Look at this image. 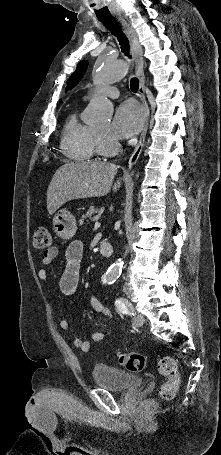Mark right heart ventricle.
Returning <instances> with one entry per match:
<instances>
[{
  "instance_id": "e07e8e85",
  "label": "right heart ventricle",
  "mask_w": 221,
  "mask_h": 455,
  "mask_svg": "<svg viewBox=\"0 0 221 455\" xmlns=\"http://www.w3.org/2000/svg\"><path fill=\"white\" fill-rule=\"evenodd\" d=\"M63 154L73 161H87L96 154L95 128L80 121L76 111L67 117L61 136Z\"/></svg>"
}]
</instances>
